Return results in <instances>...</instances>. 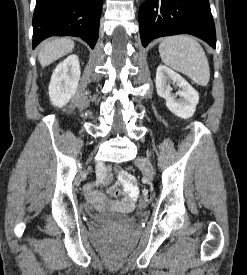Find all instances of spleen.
Wrapping results in <instances>:
<instances>
[{
	"label": "spleen",
	"mask_w": 247,
	"mask_h": 275,
	"mask_svg": "<svg viewBox=\"0 0 247 275\" xmlns=\"http://www.w3.org/2000/svg\"><path fill=\"white\" fill-rule=\"evenodd\" d=\"M160 57L167 66L207 86L210 69L206 54L196 39L187 35L166 37L159 45Z\"/></svg>",
	"instance_id": "spleen-1"
}]
</instances>
